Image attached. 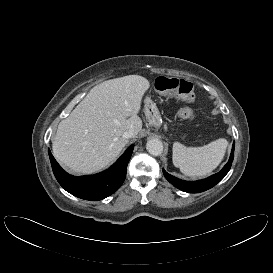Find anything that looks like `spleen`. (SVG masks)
<instances>
[{
  "label": "spleen",
  "instance_id": "spleen-1",
  "mask_svg": "<svg viewBox=\"0 0 273 273\" xmlns=\"http://www.w3.org/2000/svg\"><path fill=\"white\" fill-rule=\"evenodd\" d=\"M228 142L217 139L202 147H186L179 142L173 144V164L187 176H206L221 163Z\"/></svg>",
  "mask_w": 273,
  "mask_h": 273
}]
</instances>
